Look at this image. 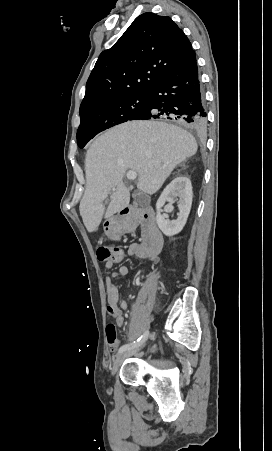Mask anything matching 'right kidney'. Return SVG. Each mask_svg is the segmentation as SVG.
<instances>
[{"label":"right kidney","mask_w":272,"mask_h":451,"mask_svg":"<svg viewBox=\"0 0 272 451\" xmlns=\"http://www.w3.org/2000/svg\"><path fill=\"white\" fill-rule=\"evenodd\" d=\"M192 198L191 180L184 178V176L174 178L171 184H168L163 190L156 204V222L165 235H175L183 229L190 214ZM165 202H170V204L177 202L179 208L177 220H165L164 216H161V208H163ZM170 210H173V206H170Z\"/></svg>","instance_id":"1"}]
</instances>
